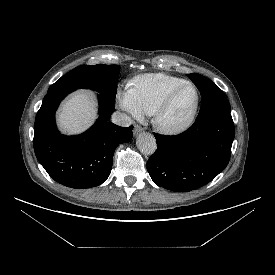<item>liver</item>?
<instances>
[{"label": "liver", "instance_id": "6515ba94", "mask_svg": "<svg viewBox=\"0 0 275 275\" xmlns=\"http://www.w3.org/2000/svg\"><path fill=\"white\" fill-rule=\"evenodd\" d=\"M96 118V103L89 91H79L65 100L58 113V125L67 134L86 130Z\"/></svg>", "mask_w": 275, "mask_h": 275}]
</instances>
